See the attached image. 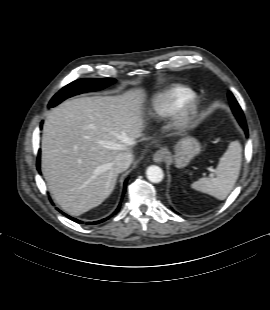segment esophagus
Masks as SVG:
<instances>
[{
  "instance_id": "obj_1",
  "label": "esophagus",
  "mask_w": 270,
  "mask_h": 310,
  "mask_svg": "<svg viewBox=\"0 0 270 310\" xmlns=\"http://www.w3.org/2000/svg\"><path fill=\"white\" fill-rule=\"evenodd\" d=\"M167 150L166 149H159L153 155V161L155 163L163 162L167 157Z\"/></svg>"
}]
</instances>
